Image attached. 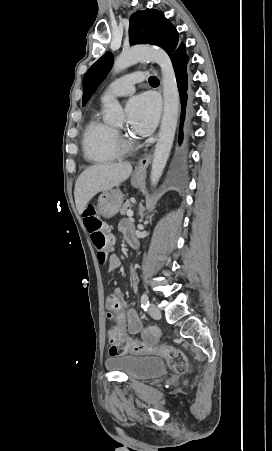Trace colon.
Here are the masks:
<instances>
[{"instance_id":"obj_1","label":"colon","mask_w":272,"mask_h":451,"mask_svg":"<svg viewBox=\"0 0 272 451\" xmlns=\"http://www.w3.org/2000/svg\"><path fill=\"white\" fill-rule=\"evenodd\" d=\"M84 224L90 233L92 243L96 249L97 261L100 265L107 262L109 257L110 231L102 230V221L94 209L90 208L84 212ZM107 344L110 356H122L132 351L134 354H149L152 345L145 342H131L129 338L117 339V332L114 327H107ZM156 350V349H155ZM159 353L168 354L169 367L178 373H184L187 369L185 356L178 352L176 345H163L157 348Z\"/></svg>"}]
</instances>
